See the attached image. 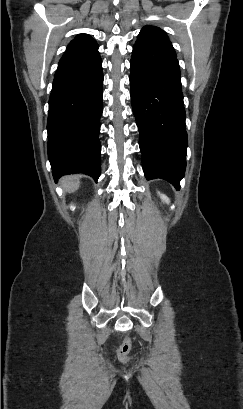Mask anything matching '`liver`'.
Returning a JSON list of instances; mask_svg holds the SVG:
<instances>
[{
	"label": "liver",
	"mask_w": 243,
	"mask_h": 409,
	"mask_svg": "<svg viewBox=\"0 0 243 409\" xmlns=\"http://www.w3.org/2000/svg\"><path fill=\"white\" fill-rule=\"evenodd\" d=\"M60 183L68 192H74L79 188V176L73 175L63 177Z\"/></svg>",
	"instance_id": "6515ba94"
}]
</instances>
